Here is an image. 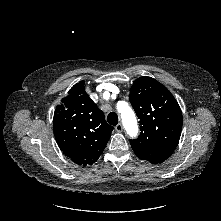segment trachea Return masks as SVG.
Here are the masks:
<instances>
[{
  "instance_id": "obj_1",
  "label": "trachea",
  "mask_w": 221,
  "mask_h": 221,
  "mask_svg": "<svg viewBox=\"0 0 221 221\" xmlns=\"http://www.w3.org/2000/svg\"><path fill=\"white\" fill-rule=\"evenodd\" d=\"M107 121L111 125H117L118 124V115L115 112H110L107 116Z\"/></svg>"
}]
</instances>
